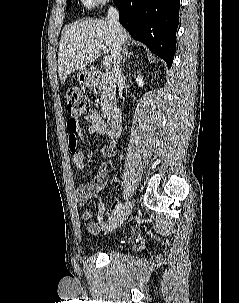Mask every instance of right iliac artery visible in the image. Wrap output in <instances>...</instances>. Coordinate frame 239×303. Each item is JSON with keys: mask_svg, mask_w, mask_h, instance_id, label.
I'll use <instances>...</instances> for the list:
<instances>
[{"mask_svg": "<svg viewBox=\"0 0 239 303\" xmlns=\"http://www.w3.org/2000/svg\"><path fill=\"white\" fill-rule=\"evenodd\" d=\"M122 208H123L122 203H119V204L116 206V209H115V211H114V215H115L116 213L120 212Z\"/></svg>", "mask_w": 239, "mask_h": 303, "instance_id": "1", "label": "right iliac artery"}]
</instances>
